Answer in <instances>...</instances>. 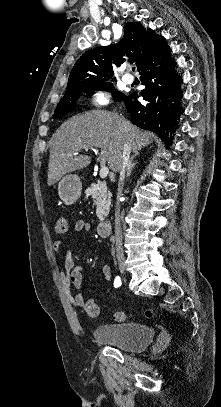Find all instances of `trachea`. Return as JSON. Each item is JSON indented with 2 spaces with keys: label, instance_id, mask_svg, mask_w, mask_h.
<instances>
[{
  "label": "trachea",
  "instance_id": "obj_1",
  "mask_svg": "<svg viewBox=\"0 0 221 407\" xmlns=\"http://www.w3.org/2000/svg\"><path fill=\"white\" fill-rule=\"evenodd\" d=\"M132 71H133V72L135 71V67L132 68Z\"/></svg>",
  "mask_w": 221,
  "mask_h": 407
}]
</instances>
